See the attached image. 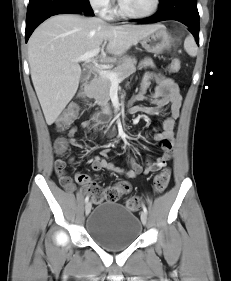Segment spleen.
<instances>
[{
  "label": "spleen",
  "instance_id": "obj_1",
  "mask_svg": "<svg viewBox=\"0 0 231 281\" xmlns=\"http://www.w3.org/2000/svg\"><path fill=\"white\" fill-rule=\"evenodd\" d=\"M184 49L185 51L192 57H195L198 52L197 45L192 36H188L184 41Z\"/></svg>",
  "mask_w": 231,
  "mask_h": 281
}]
</instances>
